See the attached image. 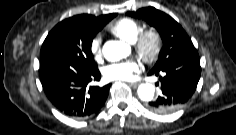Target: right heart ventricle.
I'll return each instance as SVG.
<instances>
[{
    "mask_svg": "<svg viewBox=\"0 0 236 135\" xmlns=\"http://www.w3.org/2000/svg\"><path fill=\"white\" fill-rule=\"evenodd\" d=\"M108 30L120 39L133 43L142 30L139 22L132 18H121L109 26Z\"/></svg>",
    "mask_w": 236,
    "mask_h": 135,
    "instance_id": "e07e8e85",
    "label": "right heart ventricle"
}]
</instances>
